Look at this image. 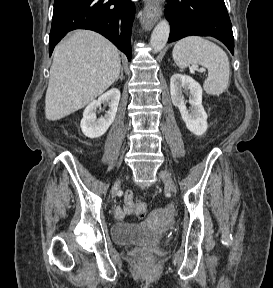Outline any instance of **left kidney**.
I'll return each instance as SVG.
<instances>
[{"mask_svg": "<svg viewBox=\"0 0 273 288\" xmlns=\"http://www.w3.org/2000/svg\"><path fill=\"white\" fill-rule=\"evenodd\" d=\"M183 89L190 90L191 108L188 110L182 94ZM170 93L174 106L178 107L186 127L196 136L203 135L207 128V114L202 106V88L190 76L174 74L170 79Z\"/></svg>", "mask_w": 273, "mask_h": 288, "instance_id": "1", "label": "left kidney"}]
</instances>
